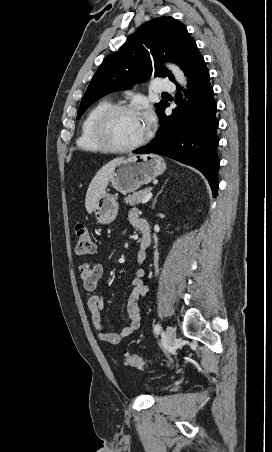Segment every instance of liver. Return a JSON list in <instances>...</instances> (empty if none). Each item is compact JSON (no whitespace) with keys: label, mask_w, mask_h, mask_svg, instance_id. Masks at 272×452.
<instances>
[{"label":"liver","mask_w":272,"mask_h":452,"mask_svg":"<svg viewBox=\"0 0 272 452\" xmlns=\"http://www.w3.org/2000/svg\"><path fill=\"white\" fill-rule=\"evenodd\" d=\"M123 158H116L104 165L92 179L89 184L86 198H85V207L89 214L93 212L94 206L98 200V198L105 192V189L109 183V179L111 177L112 171L114 167L122 160Z\"/></svg>","instance_id":"6515ba94"}]
</instances>
